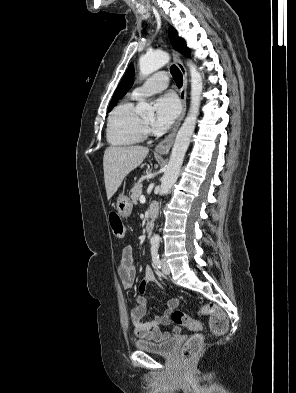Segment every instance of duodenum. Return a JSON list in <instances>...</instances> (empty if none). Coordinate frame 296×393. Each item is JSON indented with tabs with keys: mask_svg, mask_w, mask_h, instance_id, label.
<instances>
[{
	"mask_svg": "<svg viewBox=\"0 0 296 393\" xmlns=\"http://www.w3.org/2000/svg\"><path fill=\"white\" fill-rule=\"evenodd\" d=\"M158 214V206L157 204H152L147 211V221H148V234L150 235L152 232L153 221L155 220Z\"/></svg>",
	"mask_w": 296,
	"mask_h": 393,
	"instance_id": "obj_1",
	"label": "duodenum"
}]
</instances>
